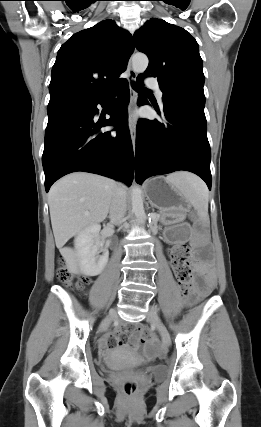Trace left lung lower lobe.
Returning <instances> with one entry per match:
<instances>
[{
	"instance_id": "0a47b994",
	"label": "left lung lower lobe",
	"mask_w": 261,
	"mask_h": 427,
	"mask_svg": "<svg viewBox=\"0 0 261 427\" xmlns=\"http://www.w3.org/2000/svg\"><path fill=\"white\" fill-rule=\"evenodd\" d=\"M142 84V79L137 78ZM149 104L140 95L138 105ZM166 123L140 119L137 124L135 179L178 170L200 176L211 189V151L204 114L205 98L180 92L163 95ZM156 111L160 113L158 107Z\"/></svg>"
}]
</instances>
